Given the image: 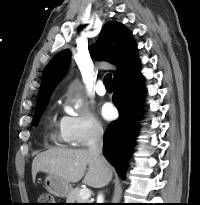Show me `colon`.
I'll list each match as a JSON object with an SVG mask.
<instances>
[{"label": "colon", "instance_id": "obj_1", "mask_svg": "<svg viewBox=\"0 0 200 205\" xmlns=\"http://www.w3.org/2000/svg\"><path fill=\"white\" fill-rule=\"evenodd\" d=\"M38 205H53V197L50 194H41L38 199Z\"/></svg>", "mask_w": 200, "mask_h": 205}]
</instances>
